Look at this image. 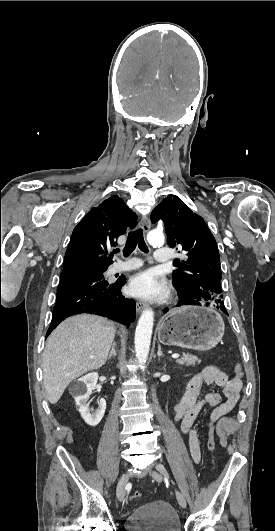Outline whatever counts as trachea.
I'll list each match as a JSON object with an SVG mask.
<instances>
[{
  "mask_svg": "<svg viewBox=\"0 0 275 531\" xmlns=\"http://www.w3.org/2000/svg\"><path fill=\"white\" fill-rule=\"evenodd\" d=\"M137 245L139 246V249L141 251H144V253H148V247L144 241L143 230L141 228L139 230L131 231L129 233L126 245L123 249V255L125 257L129 256L134 251ZM113 252L118 253L119 249H114Z\"/></svg>",
  "mask_w": 275,
  "mask_h": 531,
  "instance_id": "1",
  "label": "trachea"
}]
</instances>
